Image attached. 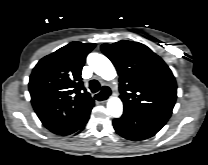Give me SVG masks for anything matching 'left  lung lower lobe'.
Segmentation results:
<instances>
[{"instance_id":"0a47b994","label":"left lung lower lobe","mask_w":208,"mask_h":165,"mask_svg":"<svg viewBox=\"0 0 208 165\" xmlns=\"http://www.w3.org/2000/svg\"><path fill=\"white\" fill-rule=\"evenodd\" d=\"M167 121L165 117L124 110L120 118L113 120V126L120 136L128 140L140 141L154 136Z\"/></svg>"}]
</instances>
